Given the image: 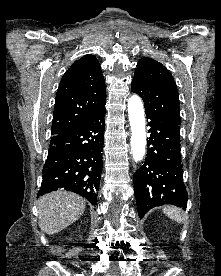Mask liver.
Returning a JSON list of instances; mask_svg holds the SVG:
<instances>
[{
	"label": "liver",
	"instance_id": "6515ba94",
	"mask_svg": "<svg viewBox=\"0 0 221 276\" xmlns=\"http://www.w3.org/2000/svg\"><path fill=\"white\" fill-rule=\"evenodd\" d=\"M85 207V200L73 192L46 194L38 201L39 227L49 235L58 233L79 219Z\"/></svg>",
	"mask_w": 221,
	"mask_h": 276
}]
</instances>
